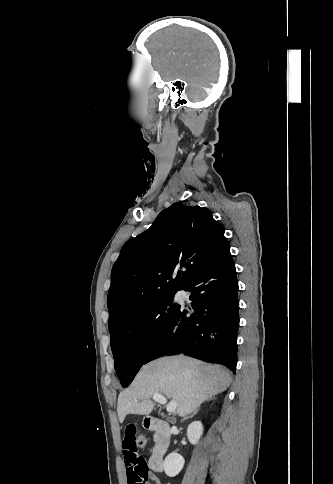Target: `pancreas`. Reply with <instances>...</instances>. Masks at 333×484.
Returning <instances> with one entry per match:
<instances>
[{
    "mask_svg": "<svg viewBox=\"0 0 333 484\" xmlns=\"http://www.w3.org/2000/svg\"><path fill=\"white\" fill-rule=\"evenodd\" d=\"M159 439V434L158 433H155L154 434V441H157Z\"/></svg>",
    "mask_w": 333,
    "mask_h": 484,
    "instance_id": "obj_1",
    "label": "pancreas"
}]
</instances>
